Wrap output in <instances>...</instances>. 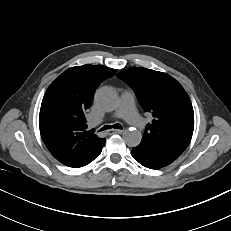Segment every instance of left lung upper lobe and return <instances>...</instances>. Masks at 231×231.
Returning a JSON list of instances; mask_svg holds the SVG:
<instances>
[{
  "label": "left lung upper lobe",
  "instance_id": "obj_1",
  "mask_svg": "<svg viewBox=\"0 0 231 231\" xmlns=\"http://www.w3.org/2000/svg\"><path fill=\"white\" fill-rule=\"evenodd\" d=\"M117 77L131 86L145 112L153 116L142 141L166 144L183 153L194 130V112L188 94L170 75L146 68H129Z\"/></svg>",
  "mask_w": 231,
  "mask_h": 231
}]
</instances>
